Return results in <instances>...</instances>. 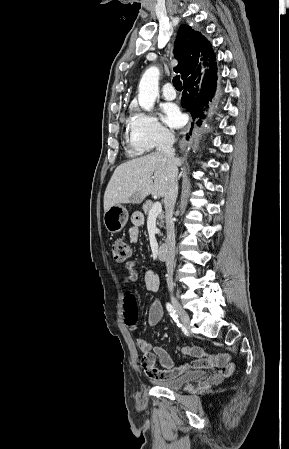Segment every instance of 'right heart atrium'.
Masks as SVG:
<instances>
[{
    "mask_svg": "<svg viewBox=\"0 0 289 449\" xmlns=\"http://www.w3.org/2000/svg\"><path fill=\"white\" fill-rule=\"evenodd\" d=\"M131 145L140 151H150L169 144L172 132L162 125L156 116L136 110L129 121Z\"/></svg>",
    "mask_w": 289,
    "mask_h": 449,
    "instance_id": "right-heart-atrium-1",
    "label": "right heart atrium"
}]
</instances>
